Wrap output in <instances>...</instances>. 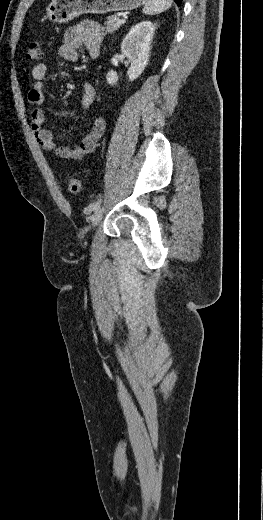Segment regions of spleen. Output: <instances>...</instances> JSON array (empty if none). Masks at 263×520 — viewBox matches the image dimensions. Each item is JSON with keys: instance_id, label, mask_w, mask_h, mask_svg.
Returning <instances> with one entry per match:
<instances>
[{"instance_id": "spleen-1", "label": "spleen", "mask_w": 263, "mask_h": 520, "mask_svg": "<svg viewBox=\"0 0 263 520\" xmlns=\"http://www.w3.org/2000/svg\"><path fill=\"white\" fill-rule=\"evenodd\" d=\"M172 5V0H148L143 8V13L146 15H154L169 9Z\"/></svg>"}]
</instances>
